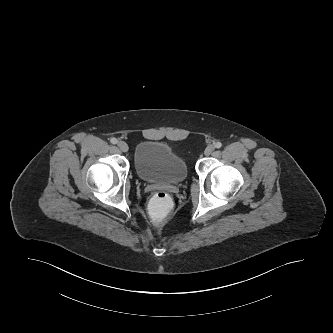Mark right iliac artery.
I'll return each mask as SVG.
<instances>
[{
    "mask_svg": "<svg viewBox=\"0 0 333 333\" xmlns=\"http://www.w3.org/2000/svg\"><path fill=\"white\" fill-rule=\"evenodd\" d=\"M110 142H111L112 144H116V143L118 142V140H117L116 138H111Z\"/></svg>",
    "mask_w": 333,
    "mask_h": 333,
    "instance_id": "right-iliac-artery-1",
    "label": "right iliac artery"
}]
</instances>
